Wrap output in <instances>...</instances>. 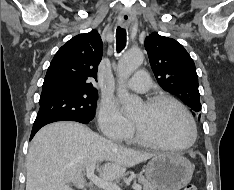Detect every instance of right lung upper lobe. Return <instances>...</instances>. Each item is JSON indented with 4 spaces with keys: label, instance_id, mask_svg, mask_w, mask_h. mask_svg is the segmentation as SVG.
I'll return each instance as SVG.
<instances>
[{
    "label": "right lung upper lobe",
    "instance_id": "obj_1",
    "mask_svg": "<svg viewBox=\"0 0 234 190\" xmlns=\"http://www.w3.org/2000/svg\"><path fill=\"white\" fill-rule=\"evenodd\" d=\"M102 53L103 43L96 30L73 37L55 54L43 86L62 85L96 90L93 82L97 80V66Z\"/></svg>",
    "mask_w": 234,
    "mask_h": 190
}]
</instances>
